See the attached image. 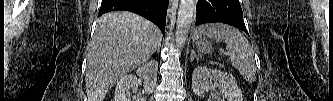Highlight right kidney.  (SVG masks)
<instances>
[{
	"label": "right kidney",
	"mask_w": 333,
	"mask_h": 101,
	"mask_svg": "<svg viewBox=\"0 0 333 101\" xmlns=\"http://www.w3.org/2000/svg\"><path fill=\"white\" fill-rule=\"evenodd\" d=\"M158 62L155 60L145 63L136 70L140 79L144 80L143 86L146 93H152L157 80ZM138 86L137 77L126 75L119 80L115 89V101H129L127 98L130 89Z\"/></svg>",
	"instance_id": "obj_1"
}]
</instances>
